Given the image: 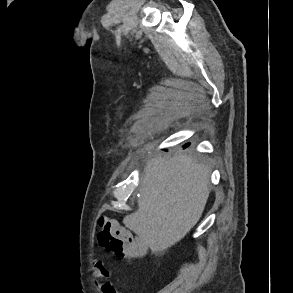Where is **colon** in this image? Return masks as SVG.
Listing matches in <instances>:
<instances>
[{
    "label": "colon",
    "instance_id": "obj_1",
    "mask_svg": "<svg viewBox=\"0 0 293 293\" xmlns=\"http://www.w3.org/2000/svg\"><path fill=\"white\" fill-rule=\"evenodd\" d=\"M98 242L116 258L134 261L147 250L146 243L128 230L119 226L116 220L102 215L99 217Z\"/></svg>",
    "mask_w": 293,
    "mask_h": 293
}]
</instances>
